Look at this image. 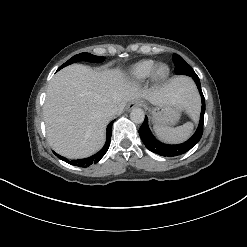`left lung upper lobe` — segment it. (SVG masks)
<instances>
[{
    "mask_svg": "<svg viewBox=\"0 0 247 247\" xmlns=\"http://www.w3.org/2000/svg\"><path fill=\"white\" fill-rule=\"evenodd\" d=\"M173 62L175 64V73L184 74L188 76L196 75L192 67L185 62V60L177 54H173Z\"/></svg>",
    "mask_w": 247,
    "mask_h": 247,
    "instance_id": "left-lung-upper-lobe-1",
    "label": "left lung upper lobe"
}]
</instances>
